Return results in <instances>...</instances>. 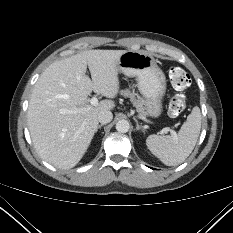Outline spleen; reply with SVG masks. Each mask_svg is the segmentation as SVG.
Here are the masks:
<instances>
[{
  "mask_svg": "<svg viewBox=\"0 0 233 233\" xmlns=\"http://www.w3.org/2000/svg\"><path fill=\"white\" fill-rule=\"evenodd\" d=\"M201 112L194 107L177 134L150 135L146 139L148 149L167 166L185 161L193 151L201 129Z\"/></svg>",
  "mask_w": 233,
  "mask_h": 233,
  "instance_id": "3e777b00",
  "label": "spleen"
}]
</instances>
